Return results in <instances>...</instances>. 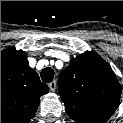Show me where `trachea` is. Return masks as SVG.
I'll list each match as a JSON object with an SVG mask.
<instances>
[{
	"label": "trachea",
	"instance_id": "1",
	"mask_svg": "<svg viewBox=\"0 0 123 123\" xmlns=\"http://www.w3.org/2000/svg\"><path fill=\"white\" fill-rule=\"evenodd\" d=\"M41 78H42V81L44 82H47V83L51 82L54 78L53 69L50 67L43 69L41 72Z\"/></svg>",
	"mask_w": 123,
	"mask_h": 123
}]
</instances>
